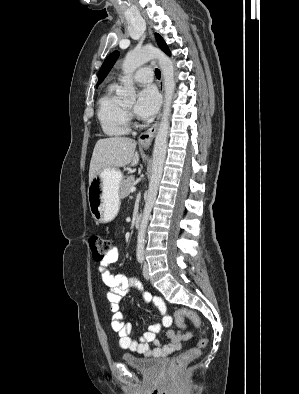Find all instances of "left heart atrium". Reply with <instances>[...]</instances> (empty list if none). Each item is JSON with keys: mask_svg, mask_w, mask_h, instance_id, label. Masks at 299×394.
I'll return each mask as SVG.
<instances>
[{"mask_svg": "<svg viewBox=\"0 0 299 394\" xmlns=\"http://www.w3.org/2000/svg\"><path fill=\"white\" fill-rule=\"evenodd\" d=\"M160 106V96L152 86L142 89L137 97L134 111L142 119L153 117Z\"/></svg>", "mask_w": 299, "mask_h": 394, "instance_id": "left-heart-atrium-1", "label": "left heart atrium"}]
</instances>
